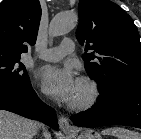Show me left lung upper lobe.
Returning <instances> with one entry per match:
<instances>
[{
	"label": "left lung upper lobe",
	"instance_id": "1",
	"mask_svg": "<svg viewBox=\"0 0 141 139\" xmlns=\"http://www.w3.org/2000/svg\"><path fill=\"white\" fill-rule=\"evenodd\" d=\"M76 37L86 44L85 69L106 94L141 83V43L132 18L109 0H80Z\"/></svg>",
	"mask_w": 141,
	"mask_h": 139
}]
</instances>
